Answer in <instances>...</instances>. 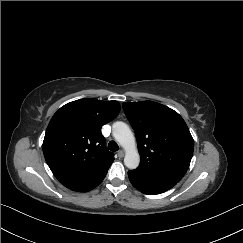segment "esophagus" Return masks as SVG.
<instances>
[{"instance_id": "34e87169", "label": "esophagus", "mask_w": 243, "mask_h": 243, "mask_svg": "<svg viewBox=\"0 0 243 243\" xmlns=\"http://www.w3.org/2000/svg\"><path fill=\"white\" fill-rule=\"evenodd\" d=\"M124 154L125 153H124L123 150H119L118 153H117V155H118L119 158H123L124 157Z\"/></svg>"}]
</instances>
